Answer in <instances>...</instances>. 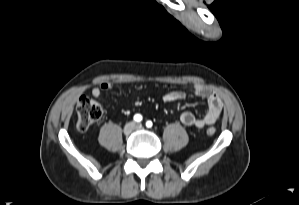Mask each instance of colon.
I'll list each match as a JSON object with an SVG mask.
<instances>
[{"label": "colon", "mask_w": 299, "mask_h": 205, "mask_svg": "<svg viewBox=\"0 0 299 205\" xmlns=\"http://www.w3.org/2000/svg\"><path fill=\"white\" fill-rule=\"evenodd\" d=\"M77 110V127L80 131L88 130L92 125L97 123L102 116V108L95 100L89 96H82L76 106ZM209 136H213L216 132L214 127L206 130Z\"/></svg>", "instance_id": "obj_1"}]
</instances>
